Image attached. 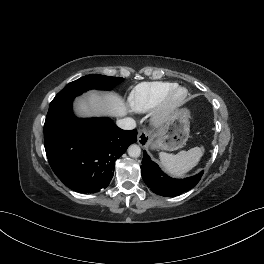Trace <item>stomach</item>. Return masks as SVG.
Instances as JSON below:
<instances>
[{
    "instance_id": "1",
    "label": "stomach",
    "mask_w": 264,
    "mask_h": 264,
    "mask_svg": "<svg viewBox=\"0 0 264 264\" xmlns=\"http://www.w3.org/2000/svg\"><path fill=\"white\" fill-rule=\"evenodd\" d=\"M189 118L188 109L182 108L175 111L151 146L167 151L183 147L189 137Z\"/></svg>"
}]
</instances>
